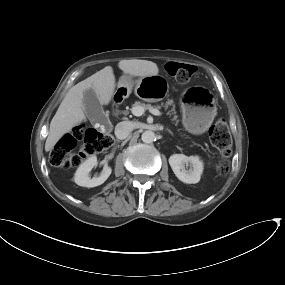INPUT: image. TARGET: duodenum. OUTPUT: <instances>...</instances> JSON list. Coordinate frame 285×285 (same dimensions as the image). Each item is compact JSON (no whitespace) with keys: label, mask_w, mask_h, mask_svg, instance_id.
Returning a JSON list of instances; mask_svg holds the SVG:
<instances>
[{"label":"duodenum","mask_w":285,"mask_h":285,"mask_svg":"<svg viewBox=\"0 0 285 285\" xmlns=\"http://www.w3.org/2000/svg\"><path fill=\"white\" fill-rule=\"evenodd\" d=\"M120 101L121 100L119 99L118 95L114 94L113 95V112H114V114H117L119 111Z\"/></svg>","instance_id":"obj_1"}]
</instances>
